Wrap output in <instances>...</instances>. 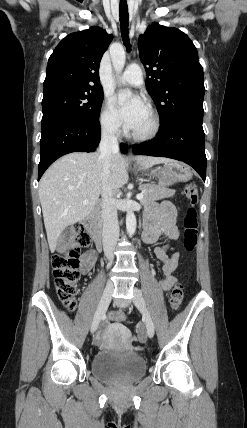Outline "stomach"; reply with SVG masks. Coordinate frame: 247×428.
I'll return each instance as SVG.
<instances>
[{"mask_svg":"<svg viewBox=\"0 0 247 428\" xmlns=\"http://www.w3.org/2000/svg\"><path fill=\"white\" fill-rule=\"evenodd\" d=\"M143 171L147 176L157 179L160 186L187 182L192 177L191 168L179 161L166 162L151 169L143 168Z\"/></svg>","mask_w":247,"mask_h":428,"instance_id":"0dacf381","label":"stomach"}]
</instances>
